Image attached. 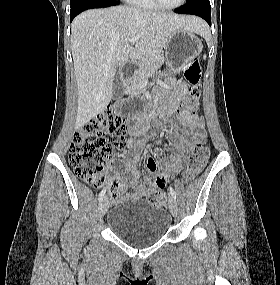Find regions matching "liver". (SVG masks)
I'll return each instance as SVG.
<instances>
[{"label":"liver","instance_id":"liver-1","mask_svg":"<svg viewBox=\"0 0 280 285\" xmlns=\"http://www.w3.org/2000/svg\"><path fill=\"white\" fill-rule=\"evenodd\" d=\"M202 34L204 22L193 16L160 13L132 6L93 9L71 25V50L78 89L75 127L103 112L112 99L117 68L131 59L156 57L174 31ZM132 37H139L135 47Z\"/></svg>","mask_w":280,"mask_h":285}]
</instances>
